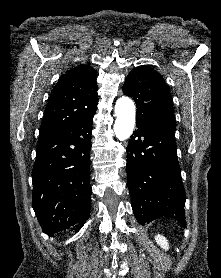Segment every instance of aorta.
<instances>
[{"label":"aorta","mask_w":221,"mask_h":278,"mask_svg":"<svg viewBox=\"0 0 221 278\" xmlns=\"http://www.w3.org/2000/svg\"><path fill=\"white\" fill-rule=\"evenodd\" d=\"M135 105L128 97H122L115 104L116 120L114 132L120 141L128 139L135 126Z\"/></svg>","instance_id":"762f6f07"}]
</instances>
